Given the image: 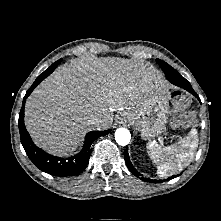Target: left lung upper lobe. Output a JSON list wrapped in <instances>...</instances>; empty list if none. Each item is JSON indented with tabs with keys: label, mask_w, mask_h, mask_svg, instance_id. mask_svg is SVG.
Masks as SVG:
<instances>
[{
	"label": "left lung upper lobe",
	"mask_w": 221,
	"mask_h": 221,
	"mask_svg": "<svg viewBox=\"0 0 221 221\" xmlns=\"http://www.w3.org/2000/svg\"><path fill=\"white\" fill-rule=\"evenodd\" d=\"M156 62L162 68V70L164 71L167 79L170 82H172L174 80H178V79H180L182 77L174 68H172L169 64H167L163 60L156 59Z\"/></svg>",
	"instance_id": "5c2ea615"
}]
</instances>
